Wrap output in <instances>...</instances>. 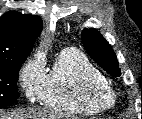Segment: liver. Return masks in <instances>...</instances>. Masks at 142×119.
<instances>
[{"label": "liver", "mask_w": 142, "mask_h": 119, "mask_svg": "<svg viewBox=\"0 0 142 119\" xmlns=\"http://www.w3.org/2000/svg\"><path fill=\"white\" fill-rule=\"evenodd\" d=\"M0 119H69V116L55 111L28 109L12 114L0 111Z\"/></svg>", "instance_id": "1"}]
</instances>
